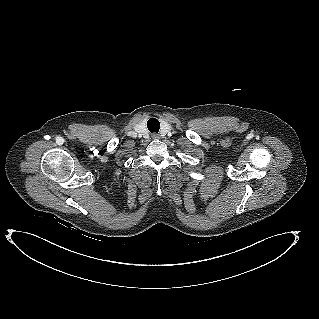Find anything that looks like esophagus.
<instances>
[{
  "mask_svg": "<svg viewBox=\"0 0 319 319\" xmlns=\"http://www.w3.org/2000/svg\"><path fill=\"white\" fill-rule=\"evenodd\" d=\"M151 137L153 139H159L160 138L159 134H157V133H152Z\"/></svg>",
  "mask_w": 319,
  "mask_h": 319,
  "instance_id": "34e87169",
  "label": "esophagus"
}]
</instances>
